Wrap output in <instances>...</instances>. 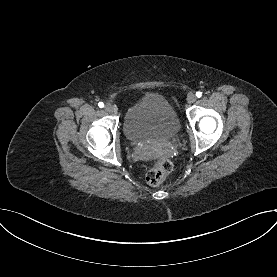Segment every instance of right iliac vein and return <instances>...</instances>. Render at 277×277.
Segmentation results:
<instances>
[{
  "label": "right iliac vein",
  "mask_w": 277,
  "mask_h": 277,
  "mask_svg": "<svg viewBox=\"0 0 277 277\" xmlns=\"http://www.w3.org/2000/svg\"><path fill=\"white\" fill-rule=\"evenodd\" d=\"M104 109H105V111H107V112H109V113L113 112V110H114L113 105L110 104V103H107V104L105 105Z\"/></svg>",
  "instance_id": "obj_1"
}]
</instances>
